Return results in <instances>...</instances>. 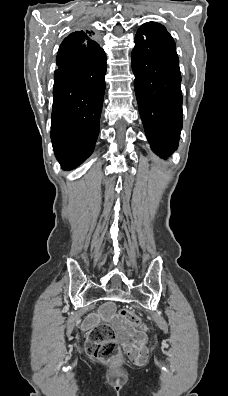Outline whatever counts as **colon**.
Listing matches in <instances>:
<instances>
[{
	"label": "colon",
	"mask_w": 228,
	"mask_h": 396,
	"mask_svg": "<svg viewBox=\"0 0 228 396\" xmlns=\"http://www.w3.org/2000/svg\"><path fill=\"white\" fill-rule=\"evenodd\" d=\"M119 315L127 326L142 327L140 318L133 311L122 309ZM86 352L91 358L101 362H109L119 357L120 348L111 325L99 324L90 331Z\"/></svg>",
	"instance_id": "colon-1"
}]
</instances>
